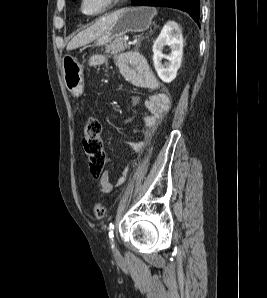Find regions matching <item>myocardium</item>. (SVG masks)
<instances>
[{
	"mask_svg": "<svg viewBox=\"0 0 267 298\" xmlns=\"http://www.w3.org/2000/svg\"><path fill=\"white\" fill-rule=\"evenodd\" d=\"M122 1L123 0H106V3L104 4V6L100 10H98L96 12L89 13V12L85 11L86 0H80V10L86 16L95 17V16H99V15L104 14L105 12L109 11L115 5H117L118 3L122 2Z\"/></svg>",
	"mask_w": 267,
	"mask_h": 298,
	"instance_id": "obj_1",
	"label": "myocardium"
}]
</instances>
